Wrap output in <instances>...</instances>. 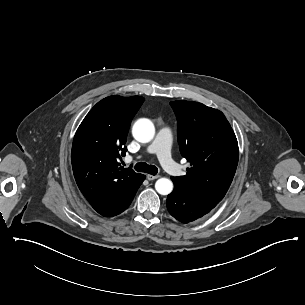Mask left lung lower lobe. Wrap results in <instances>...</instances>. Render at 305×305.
Listing matches in <instances>:
<instances>
[{
  "label": "left lung lower lobe",
  "mask_w": 305,
  "mask_h": 305,
  "mask_svg": "<svg viewBox=\"0 0 305 305\" xmlns=\"http://www.w3.org/2000/svg\"><path fill=\"white\" fill-rule=\"evenodd\" d=\"M174 183V190L167 198L169 213L182 223L192 222L209 213L220 201L198 197L185 192Z\"/></svg>",
  "instance_id": "left-lung-lower-lobe-1"
}]
</instances>
